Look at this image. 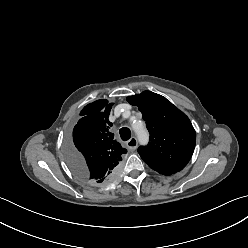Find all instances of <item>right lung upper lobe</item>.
I'll return each mask as SVG.
<instances>
[{
    "label": "right lung upper lobe",
    "instance_id": "cb5924a9",
    "mask_svg": "<svg viewBox=\"0 0 248 248\" xmlns=\"http://www.w3.org/2000/svg\"><path fill=\"white\" fill-rule=\"evenodd\" d=\"M112 105L104 99L88 104L74 127L72 146L79 157V166L75 171L85 179H106L112 171L119 169L122 157L127 152L110 132L112 123L108 117ZM105 182L101 180L93 184Z\"/></svg>",
    "mask_w": 248,
    "mask_h": 248
}]
</instances>
